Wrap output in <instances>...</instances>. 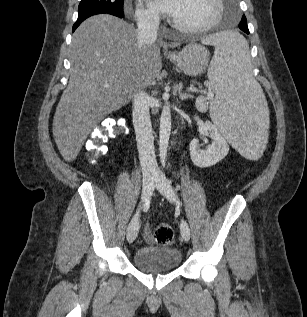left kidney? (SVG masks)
<instances>
[{
	"label": "left kidney",
	"mask_w": 307,
	"mask_h": 317,
	"mask_svg": "<svg viewBox=\"0 0 307 317\" xmlns=\"http://www.w3.org/2000/svg\"><path fill=\"white\" fill-rule=\"evenodd\" d=\"M205 128L209 131L212 144L208 145L205 150L200 149L198 139L190 142V156L193 163L198 167H209L227 156L229 146L226 139L219 133L217 128L210 122H205Z\"/></svg>",
	"instance_id": "left-kidney-1"
}]
</instances>
